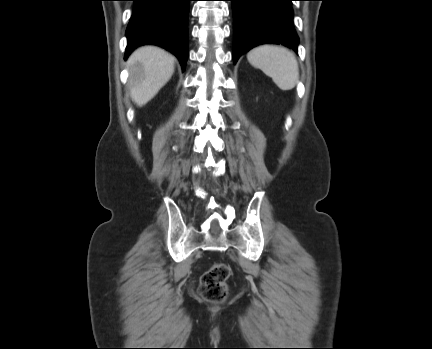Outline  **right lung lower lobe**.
Listing matches in <instances>:
<instances>
[{
	"mask_svg": "<svg viewBox=\"0 0 432 349\" xmlns=\"http://www.w3.org/2000/svg\"><path fill=\"white\" fill-rule=\"evenodd\" d=\"M126 30L125 60L138 46L154 44L171 51L185 70L188 55L187 17L191 0H132Z\"/></svg>",
	"mask_w": 432,
	"mask_h": 349,
	"instance_id": "right-lung-lower-lobe-1",
	"label": "right lung lower lobe"
}]
</instances>
